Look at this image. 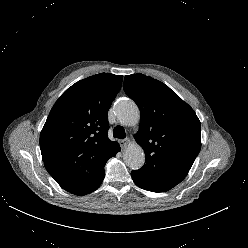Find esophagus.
Wrapping results in <instances>:
<instances>
[{
  "label": "esophagus",
  "instance_id": "34e87169",
  "mask_svg": "<svg viewBox=\"0 0 248 248\" xmlns=\"http://www.w3.org/2000/svg\"><path fill=\"white\" fill-rule=\"evenodd\" d=\"M130 142V138H126L120 141V145L123 149H125L130 144Z\"/></svg>",
  "mask_w": 248,
  "mask_h": 248
}]
</instances>
